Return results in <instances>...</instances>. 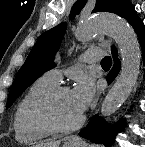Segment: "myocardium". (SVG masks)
Segmentation results:
<instances>
[{"mask_svg": "<svg viewBox=\"0 0 145 147\" xmlns=\"http://www.w3.org/2000/svg\"><path fill=\"white\" fill-rule=\"evenodd\" d=\"M68 91H70L68 86L57 85L39 96L33 103V116L53 133L67 134L73 132L84 122V116L82 114L79 119L71 125H63L56 119L53 111L54 103L60 95Z\"/></svg>", "mask_w": 145, "mask_h": 147, "instance_id": "1", "label": "myocardium"}]
</instances>
